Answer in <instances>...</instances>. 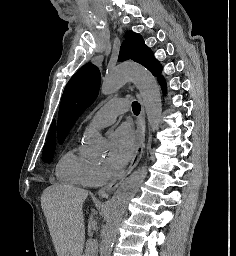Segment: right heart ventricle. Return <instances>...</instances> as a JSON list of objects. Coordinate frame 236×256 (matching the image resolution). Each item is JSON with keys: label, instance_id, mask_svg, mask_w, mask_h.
<instances>
[{"label": "right heart ventricle", "instance_id": "right-heart-ventricle-1", "mask_svg": "<svg viewBox=\"0 0 236 256\" xmlns=\"http://www.w3.org/2000/svg\"><path fill=\"white\" fill-rule=\"evenodd\" d=\"M90 164L91 162L83 157L67 152L56 166V177L62 183L85 186V174Z\"/></svg>", "mask_w": 236, "mask_h": 256}]
</instances>
